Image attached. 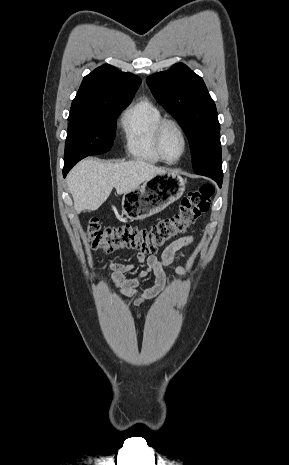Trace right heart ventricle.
<instances>
[{"instance_id": "1", "label": "right heart ventricle", "mask_w": 289, "mask_h": 465, "mask_svg": "<svg viewBox=\"0 0 289 465\" xmlns=\"http://www.w3.org/2000/svg\"><path fill=\"white\" fill-rule=\"evenodd\" d=\"M162 118L159 107L148 98L138 100L125 110L121 129L125 147L132 157L149 163L162 161L154 143L155 129Z\"/></svg>"}]
</instances>
